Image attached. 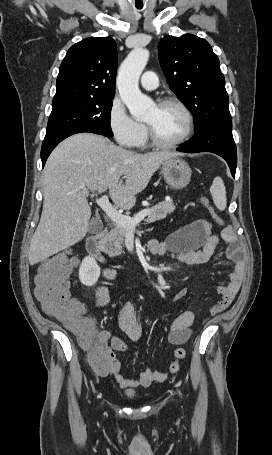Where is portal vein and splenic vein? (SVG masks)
Instances as JSON below:
<instances>
[{"label":"portal vein and splenic vein","instance_id":"1","mask_svg":"<svg viewBox=\"0 0 272 455\" xmlns=\"http://www.w3.org/2000/svg\"><path fill=\"white\" fill-rule=\"evenodd\" d=\"M86 196H88V193H86ZM95 202L113 222L126 229L133 230L135 226L150 213L149 209H145L138 213L134 218L125 216L112 206L107 195L97 198Z\"/></svg>","mask_w":272,"mask_h":455}]
</instances>
